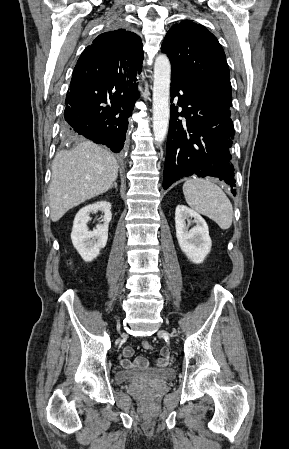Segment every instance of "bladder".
Masks as SVG:
<instances>
[{
    "mask_svg": "<svg viewBox=\"0 0 289 449\" xmlns=\"http://www.w3.org/2000/svg\"><path fill=\"white\" fill-rule=\"evenodd\" d=\"M175 376L176 371L172 368L120 370L115 373V380L118 384L142 380L169 381Z\"/></svg>",
    "mask_w": 289,
    "mask_h": 449,
    "instance_id": "1",
    "label": "bladder"
}]
</instances>
